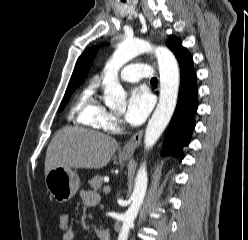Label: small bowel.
I'll use <instances>...</instances> for the list:
<instances>
[{
  "label": "small bowel",
  "mask_w": 248,
  "mask_h": 240,
  "mask_svg": "<svg viewBox=\"0 0 248 240\" xmlns=\"http://www.w3.org/2000/svg\"><path fill=\"white\" fill-rule=\"evenodd\" d=\"M80 196L86 206H95L100 201L99 195L93 191L82 190ZM62 240H75V231L71 227L64 231Z\"/></svg>",
  "instance_id": "1"
}]
</instances>
